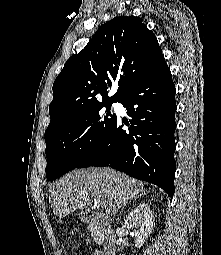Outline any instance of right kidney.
I'll return each instance as SVG.
<instances>
[{"instance_id":"obj_1","label":"right kidney","mask_w":221,"mask_h":255,"mask_svg":"<svg viewBox=\"0 0 221 255\" xmlns=\"http://www.w3.org/2000/svg\"><path fill=\"white\" fill-rule=\"evenodd\" d=\"M127 229L134 230L135 246L140 248L149 238L153 226V212L148 204H139L132 210L125 219Z\"/></svg>"}]
</instances>
